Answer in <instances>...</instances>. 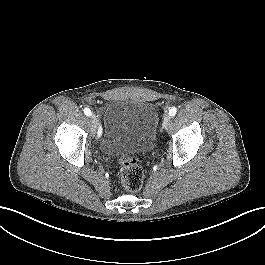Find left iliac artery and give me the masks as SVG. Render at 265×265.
Wrapping results in <instances>:
<instances>
[{"instance_id": "44dca946", "label": "left iliac artery", "mask_w": 265, "mask_h": 265, "mask_svg": "<svg viewBox=\"0 0 265 265\" xmlns=\"http://www.w3.org/2000/svg\"><path fill=\"white\" fill-rule=\"evenodd\" d=\"M177 112V108L176 107H171V109L169 110V115L170 116H174Z\"/></svg>"}]
</instances>
